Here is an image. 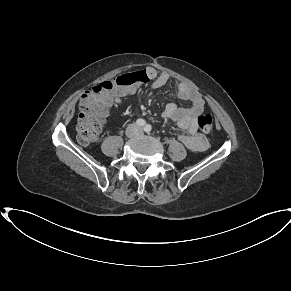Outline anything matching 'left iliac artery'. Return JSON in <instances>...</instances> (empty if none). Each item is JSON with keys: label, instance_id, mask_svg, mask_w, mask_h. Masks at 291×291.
<instances>
[{"label": "left iliac artery", "instance_id": "left-iliac-artery-1", "mask_svg": "<svg viewBox=\"0 0 291 291\" xmlns=\"http://www.w3.org/2000/svg\"><path fill=\"white\" fill-rule=\"evenodd\" d=\"M152 130V127L151 125L147 124L145 127H144V131L149 133L150 131Z\"/></svg>", "mask_w": 291, "mask_h": 291}]
</instances>
